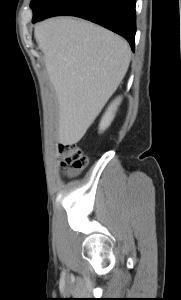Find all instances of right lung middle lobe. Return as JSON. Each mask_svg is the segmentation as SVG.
I'll return each mask as SVG.
<instances>
[{"label": "right lung middle lobe", "mask_w": 181, "mask_h": 300, "mask_svg": "<svg viewBox=\"0 0 181 300\" xmlns=\"http://www.w3.org/2000/svg\"><path fill=\"white\" fill-rule=\"evenodd\" d=\"M56 1L58 0H32L30 7L33 10L34 17L43 14Z\"/></svg>", "instance_id": "dd1d6c3e"}]
</instances>
